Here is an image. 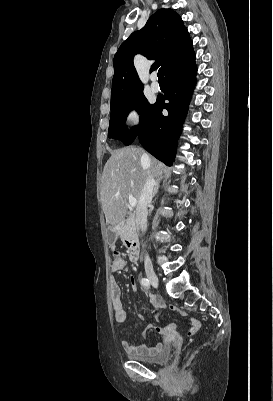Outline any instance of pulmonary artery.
<instances>
[{
	"label": "pulmonary artery",
	"instance_id": "1",
	"mask_svg": "<svg viewBox=\"0 0 273 401\" xmlns=\"http://www.w3.org/2000/svg\"><path fill=\"white\" fill-rule=\"evenodd\" d=\"M150 86H151L153 91L157 92V91H159L161 83H160L159 80H152L151 83H150Z\"/></svg>",
	"mask_w": 273,
	"mask_h": 401
}]
</instances>
